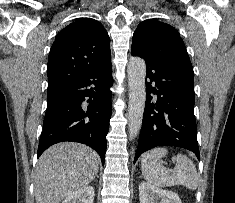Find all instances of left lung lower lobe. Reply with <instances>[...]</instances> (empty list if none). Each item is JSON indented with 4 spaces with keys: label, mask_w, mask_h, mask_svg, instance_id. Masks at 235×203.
Returning a JSON list of instances; mask_svg holds the SVG:
<instances>
[{
    "label": "left lung lower lobe",
    "mask_w": 235,
    "mask_h": 203,
    "mask_svg": "<svg viewBox=\"0 0 235 203\" xmlns=\"http://www.w3.org/2000/svg\"><path fill=\"white\" fill-rule=\"evenodd\" d=\"M146 62L147 98L134 163L156 146H176L194 152L200 159L194 115L193 76L131 49ZM151 94H156L154 99Z\"/></svg>",
    "instance_id": "obj_1"
}]
</instances>
